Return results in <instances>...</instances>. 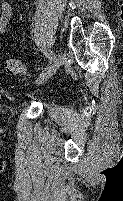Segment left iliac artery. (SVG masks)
I'll return each mask as SVG.
<instances>
[{"label": "left iliac artery", "instance_id": "1", "mask_svg": "<svg viewBox=\"0 0 123 201\" xmlns=\"http://www.w3.org/2000/svg\"><path fill=\"white\" fill-rule=\"evenodd\" d=\"M45 55L50 59V60H53L55 58V55L52 51L50 50H46L45 51Z\"/></svg>", "mask_w": 123, "mask_h": 201}]
</instances>
